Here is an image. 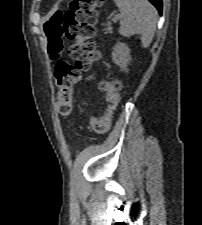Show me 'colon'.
I'll list each match as a JSON object with an SVG mask.
<instances>
[{"label":"colon","mask_w":202,"mask_h":225,"mask_svg":"<svg viewBox=\"0 0 202 225\" xmlns=\"http://www.w3.org/2000/svg\"><path fill=\"white\" fill-rule=\"evenodd\" d=\"M102 0H72L63 10L55 12L44 25L48 39V53L56 65L55 80L59 97L57 111L67 116L73 109V85L80 71L101 60V52L92 40L96 35L95 19ZM75 43L70 47L71 60H61L64 39ZM107 111L102 117L91 116L89 123L94 132L105 135L111 126L112 115L121 98V85L117 81L102 84Z\"/></svg>","instance_id":"1"}]
</instances>
